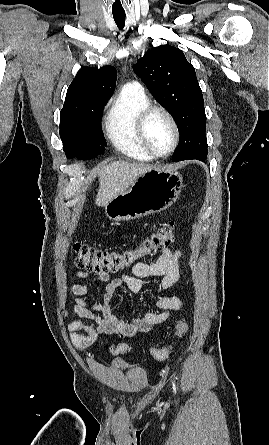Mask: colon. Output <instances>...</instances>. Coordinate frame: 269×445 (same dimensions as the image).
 I'll return each instance as SVG.
<instances>
[{
	"label": "colon",
	"instance_id": "5ec220e1",
	"mask_svg": "<svg viewBox=\"0 0 269 445\" xmlns=\"http://www.w3.org/2000/svg\"><path fill=\"white\" fill-rule=\"evenodd\" d=\"M175 229V223L171 221L152 232L137 248L119 252L97 249L80 242H74L72 244L73 260L78 268L86 271L117 273L131 268L138 259L155 255L171 245L175 240ZM188 328L186 321H178L175 325L176 338L183 337ZM128 350L129 347L125 344L112 346L113 354L125 353ZM150 352L156 360H165L170 355L171 346L152 348Z\"/></svg>",
	"mask_w": 269,
	"mask_h": 445
}]
</instances>
